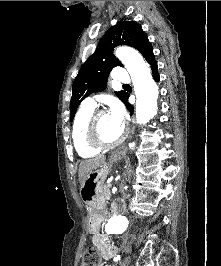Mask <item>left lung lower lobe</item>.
Masks as SVG:
<instances>
[{"label":"left lung lower lobe","instance_id":"left-lung-lower-lobe-1","mask_svg":"<svg viewBox=\"0 0 221 266\" xmlns=\"http://www.w3.org/2000/svg\"><path fill=\"white\" fill-rule=\"evenodd\" d=\"M151 69H152V74H153V78H154V80L155 81H159V74H158V66H157V62L156 61H154V62H152L151 64ZM128 96L129 95H127V97H126V99H125V101L123 102L125 105H126V107L128 108V110L130 111V113L131 114H133V106L131 105V104H129L128 103V101H127V99H128Z\"/></svg>","mask_w":221,"mask_h":266}]
</instances>
